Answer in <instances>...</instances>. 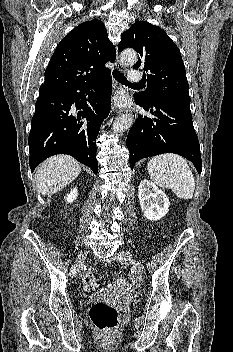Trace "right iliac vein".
<instances>
[{
    "mask_svg": "<svg viewBox=\"0 0 233 352\" xmlns=\"http://www.w3.org/2000/svg\"><path fill=\"white\" fill-rule=\"evenodd\" d=\"M87 257V251H81L78 256H77V262L79 264V268L77 269L76 272V277L79 278L81 275V271H80V266L83 264V262L85 261Z\"/></svg>",
    "mask_w": 233,
    "mask_h": 352,
    "instance_id": "63e3f726",
    "label": "right iliac vein"
}]
</instances>
